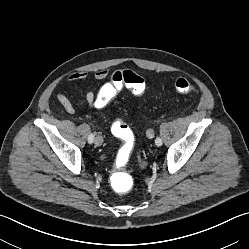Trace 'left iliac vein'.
Masks as SVG:
<instances>
[{
	"label": "left iliac vein",
	"mask_w": 249,
	"mask_h": 249,
	"mask_svg": "<svg viewBox=\"0 0 249 249\" xmlns=\"http://www.w3.org/2000/svg\"><path fill=\"white\" fill-rule=\"evenodd\" d=\"M147 137L150 138V139H152L154 137L153 130L150 129V130L147 131Z\"/></svg>",
	"instance_id": "obj_1"
}]
</instances>
